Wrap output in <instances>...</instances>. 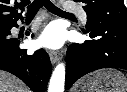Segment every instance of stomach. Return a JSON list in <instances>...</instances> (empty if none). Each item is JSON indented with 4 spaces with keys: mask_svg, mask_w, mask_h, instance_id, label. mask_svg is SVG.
<instances>
[{
    "mask_svg": "<svg viewBox=\"0 0 127 92\" xmlns=\"http://www.w3.org/2000/svg\"><path fill=\"white\" fill-rule=\"evenodd\" d=\"M127 79L115 69L95 72L83 79L76 92H126Z\"/></svg>",
    "mask_w": 127,
    "mask_h": 92,
    "instance_id": "stomach-1",
    "label": "stomach"
}]
</instances>
